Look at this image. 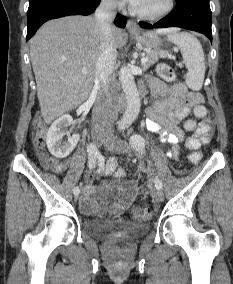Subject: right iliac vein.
I'll return each mask as SVG.
<instances>
[{
    "instance_id": "obj_1",
    "label": "right iliac vein",
    "mask_w": 233,
    "mask_h": 284,
    "mask_svg": "<svg viewBox=\"0 0 233 284\" xmlns=\"http://www.w3.org/2000/svg\"><path fill=\"white\" fill-rule=\"evenodd\" d=\"M106 137L101 133H95L93 135V140L98 147H101L106 142ZM78 199V194H75L74 200Z\"/></svg>"
}]
</instances>
